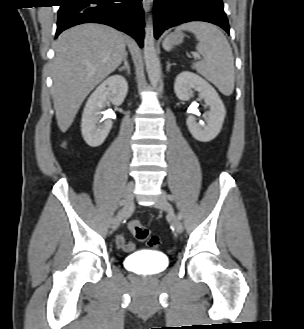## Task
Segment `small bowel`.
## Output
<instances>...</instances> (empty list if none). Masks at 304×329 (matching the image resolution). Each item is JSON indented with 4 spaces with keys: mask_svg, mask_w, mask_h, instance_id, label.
Segmentation results:
<instances>
[{
    "mask_svg": "<svg viewBox=\"0 0 304 329\" xmlns=\"http://www.w3.org/2000/svg\"><path fill=\"white\" fill-rule=\"evenodd\" d=\"M116 243L118 247L124 252H132L135 249V245L129 242L124 234L117 235Z\"/></svg>",
    "mask_w": 304,
    "mask_h": 329,
    "instance_id": "1",
    "label": "small bowel"
}]
</instances>
